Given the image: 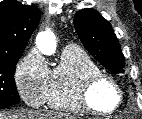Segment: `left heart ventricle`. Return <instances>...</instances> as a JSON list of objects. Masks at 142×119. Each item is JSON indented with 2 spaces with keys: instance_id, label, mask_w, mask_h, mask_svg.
I'll list each match as a JSON object with an SVG mask.
<instances>
[{
  "instance_id": "b2bd125f",
  "label": "left heart ventricle",
  "mask_w": 142,
  "mask_h": 119,
  "mask_svg": "<svg viewBox=\"0 0 142 119\" xmlns=\"http://www.w3.org/2000/svg\"><path fill=\"white\" fill-rule=\"evenodd\" d=\"M92 102L102 110L112 108L117 101V94L114 89L107 83L96 86L92 92Z\"/></svg>"
}]
</instances>
